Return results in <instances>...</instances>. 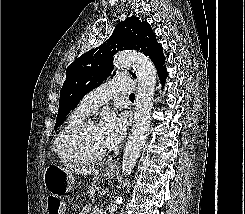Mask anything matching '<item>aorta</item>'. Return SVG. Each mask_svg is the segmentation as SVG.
Masks as SVG:
<instances>
[{
	"label": "aorta",
	"mask_w": 245,
	"mask_h": 214,
	"mask_svg": "<svg viewBox=\"0 0 245 214\" xmlns=\"http://www.w3.org/2000/svg\"><path fill=\"white\" fill-rule=\"evenodd\" d=\"M113 61L117 68L132 66L138 78L134 122L122 156V171L130 174L149 133L156 69L153 63L139 52H120Z\"/></svg>",
	"instance_id": "aorta-1"
}]
</instances>
